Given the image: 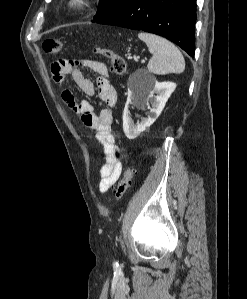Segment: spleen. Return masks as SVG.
Wrapping results in <instances>:
<instances>
[{
	"instance_id": "3e777b00",
	"label": "spleen",
	"mask_w": 247,
	"mask_h": 299,
	"mask_svg": "<svg viewBox=\"0 0 247 299\" xmlns=\"http://www.w3.org/2000/svg\"><path fill=\"white\" fill-rule=\"evenodd\" d=\"M139 39L144 41L152 54L147 68L153 74L182 73L185 60L179 49L165 38L154 34L141 32Z\"/></svg>"
}]
</instances>
